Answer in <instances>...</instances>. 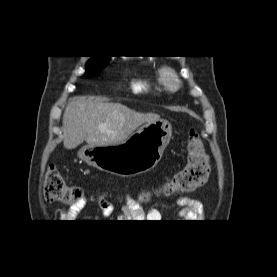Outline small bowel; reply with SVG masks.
<instances>
[{
  "label": "small bowel",
  "mask_w": 277,
  "mask_h": 277,
  "mask_svg": "<svg viewBox=\"0 0 277 277\" xmlns=\"http://www.w3.org/2000/svg\"><path fill=\"white\" fill-rule=\"evenodd\" d=\"M89 202L97 204L102 214L106 217L111 216L114 212L112 204L104 198L96 195L84 196L69 209H61L59 211L60 222H73ZM176 202L181 206L179 217L182 220L195 222L203 217L204 204L200 200L189 197H178ZM119 218L122 220H136L138 222L142 220H147V222H159V220L162 219V215L159 210L154 208L149 210L141 209L132 198L126 197L125 205L123 206Z\"/></svg>",
  "instance_id": "c3829d8e"
}]
</instances>
